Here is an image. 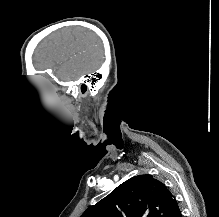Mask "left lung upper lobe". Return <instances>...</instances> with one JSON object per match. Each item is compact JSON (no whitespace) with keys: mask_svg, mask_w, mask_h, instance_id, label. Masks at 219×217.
Here are the masks:
<instances>
[{"mask_svg":"<svg viewBox=\"0 0 219 217\" xmlns=\"http://www.w3.org/2000/svg\"><path fill=\"white\" fill-rule=\"evenodd\" d=\"M174 195L152 175L128 179L80 217H176Z\"/></svg>","mask_w":219,"mask_h":217,"instance_id":"left-lung-upper-lobe-1","label":"left lung upper lobe"}]
</instances>
